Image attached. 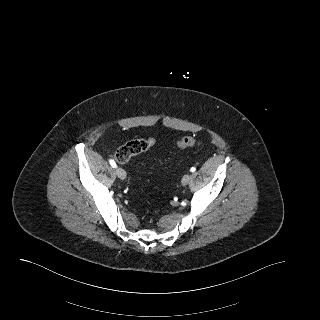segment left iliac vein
<instances>
[{
  "label": "left iliac vein",
  "mask_w": 320,
  "mask_h": 320,
  "mask_svg": "<svg viewBox=\"0 0 320 320\" xmlns=\"http://www.w3.org/2000/svg\"><path fill=\"white\" fill-rule=\"evenodd\" d=\"M191 180V175L190 174H185L181 180V183L183 186L187 185Z\"/></svg>",
  "instance_id": "1"
}]
</instances>
